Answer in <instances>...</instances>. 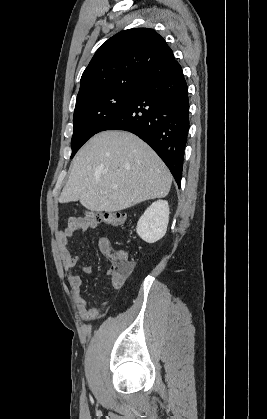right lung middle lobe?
Here are the masks:
<instances>
[{"instance_id":"obj_1","label":"right lung middle lobe","mask_w":267,"mask_h":419,"mask_svg":"<svg viewBox=\"0 0 267 419\" xmlns=\"http://www.w3.org/2000/svg\"><path fill=\"white\" fill-rule=\"evenodd\" d=\"M140 85H130L94 94L76 102L71 158L94 134L102 131L126 106Z\"/></svg>"}]
</instances>
